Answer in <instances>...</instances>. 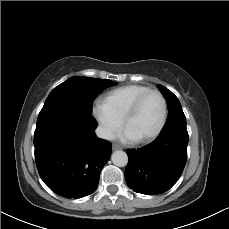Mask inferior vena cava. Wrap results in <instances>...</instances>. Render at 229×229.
Masks as SVG:
<instances>
[{"label":"inferior vena cava","instance_id":"inferior-vena-cava-1","mask_svg":"<svg viewBox=\"0 0 229 229\" xmlns=\"http://www.w3.org/2000/svg\"><path fill=\"white\" fill-rule=\"evenodd\" d=\"M95 132L97 137L102 139L112 140L114 138V134L109 129L103 126H98Z\"/></svg>","mask_w":229,"mask_h":229}]
</instances>
